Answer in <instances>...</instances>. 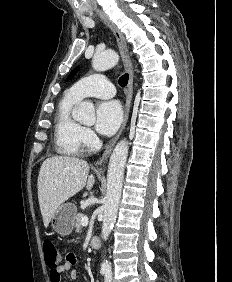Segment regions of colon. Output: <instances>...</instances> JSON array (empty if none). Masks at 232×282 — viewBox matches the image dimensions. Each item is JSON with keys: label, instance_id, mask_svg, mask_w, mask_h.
Returning <instances> with one entry per match:
<instances>
[{"label": "colon", "instance_id": "5ec220e1", "mask_svg": "<svg viewBox=\"0 0 232 282\" xmlns=\"http://www.w3.org/2000/svg\"><path fill=\"white\" fill-rule=\"evenodd\" d=\"M43 253L46 265L50 269V271L56 270L60 262V256L55 244L52 241H44Z\"/></svg>", "mask_w": 232, "mask_h": 282}]
</instances>
